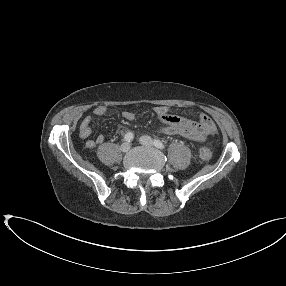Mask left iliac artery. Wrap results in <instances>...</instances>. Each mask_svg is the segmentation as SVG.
I'll return each instance as SVG.
<instances>
[{
  "mask_svg": "<svg viewBox=\"0 0 286 286\" xmlns=\"http://www.w3.org/2000/svg\"><path fill=\"white\" fill-rule=\"evenodd\" d=\"M153 143L159 149H164L165 148V145L160 140L155 139Z\"/></svg>",
  "mask_w": 286,
  "mask_h": 286,
  "instance_id": "44dca946",
  "label": "left iliac artery"
}]
</instances>
